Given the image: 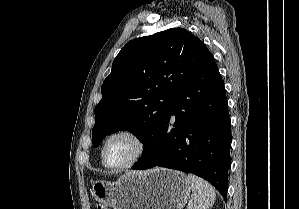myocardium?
<instances>
[{"mask_svg": "<svg viewBox=\"0 0 299 209\" xmlns=\"http://www.w3.org/2000/svg\"><path fill=\"white\" fill-rule=\"evenodd\" d=\"M119 136H126L130 139H132L135 144H136V152L133 155V157L125 164L120 165V166H110L107 164L106 162V150L107 147L110 143V141L116 137ZM147 141L146 139L143 137V135L141 133H139L136 130L133 129H121L118 130L114 133H112L105 141L103 148H102V153H101V158H102V164L110 169V170H114V171H120V170H125L128 168H131L132 166L136 165L145 155L146 151H147Z\"/></svg>", "mask_w": 299, "mask_h": 209, "instance_id": "f54148a6", "label": "myocardium"}]
</instances>
